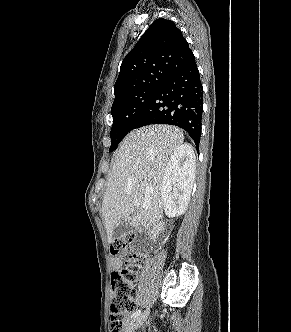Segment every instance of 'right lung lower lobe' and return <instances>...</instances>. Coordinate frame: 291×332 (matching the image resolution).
I'll list each match as a JSON object with an SVG mask.
<instances>
[{"instance_id":"obj_1","label":"right lung lower lobe","mask_w":291,"mask_h":332,"mask_svg":"<svg viewBox=\"0 0 291 332\" xmlns=\"http://www.w3.org/2000/svg\"><path fill=\"white\" fill-rule=\"evenodd\" d=\"M203 88L195 60L170 73L141 111L133 129L150 124H170L189 133L199 146Z\"/></svg>"}]
</instances>
